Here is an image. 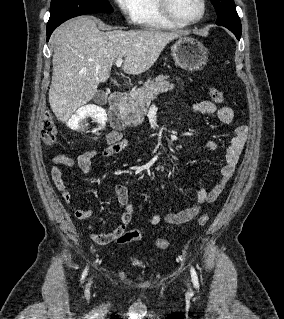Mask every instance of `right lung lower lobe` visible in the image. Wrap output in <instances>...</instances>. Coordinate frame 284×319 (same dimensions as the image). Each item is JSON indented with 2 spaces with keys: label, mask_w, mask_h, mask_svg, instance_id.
<instances>
[{
  "label": "right lung lower lobe",
  "mask_w": 284,
  "mask_h": 319,
  "mask_svg": "<svg viewBox=\"0 0 284 319\" xmlns=\"http://www.w3.org/2000/svg\"><path fill=\"white\" fill-rule=\"evenodd\" d=\"M56 27H53L51 29H47V40H49L50 35L52 34V32L55 30Z\"/></svg>",
  "instance_id": "right-lung-lower-lobe-1"
}]
</instances>
